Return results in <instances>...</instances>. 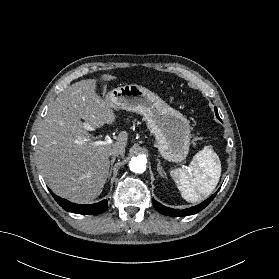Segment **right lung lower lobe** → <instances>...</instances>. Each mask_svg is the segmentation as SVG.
<instances>
[{"label":"right lung lower lobe","mask_w":279,"mask_h":279,"mask_svg":"<svg viewBox=\"0 0 279 279\" xmlns=\"http://www.w3.org/2000/svg\"><path fill=\"white\" fill-rule=\"evenodd\" d=\"M51 194L56 200V202L60 206H62L64 210L77 213V214H100L106 211L108 208L107 200H103L95 204L81 205V204L71 203L66 199L58 197L52 192Z\"/></svg>","instance_id":"98d812e1"}]
</instances>
